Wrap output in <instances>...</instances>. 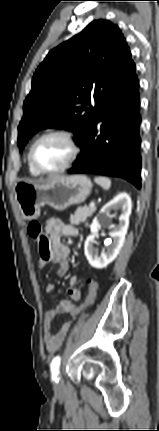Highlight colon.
Returning <instances> with one entry per match:
<instances>
[{
	"mask_svg": "<svg viewBox=\"0 0 159 431\" xmlns=\"http://www.w3.org/2000/svg\"><path fill=\"white\" fill-rule=\"evenodd\" d=\"M28 233L29 235L38 240H41V236L43 235L42 227L38 221H31L28 225ZM88 286V294L81 302V305L75 308V310H70L71 318L79 317L81 312L85 311V307H92V304H95L99 299V296L96 294V290L98 289V283L96 278L89 276L87 277Z\"/></svg>",
	"mask_w": 159,
	"mask_h": 431,
	"instance_id": "1",
	"label": "colon"
}]
</instances>
